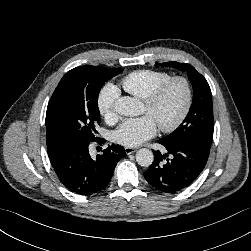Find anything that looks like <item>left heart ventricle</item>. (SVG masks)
Instances as JSON below:
<instances>
[{
  "label": "left heart ventricle",
  "instance_id": "left-heart-ventricle-1",
  "mask_svg": "<svg viewBox=\"0 0 251 251\" xmlns=\"http://www.w3.org/2000/svg\"><path fill=\"white\" fill-rule=\"evenodd\" d=\"M185 100V92L180 84L173 85L152 109L144 105V113L150 115L157 125L168 124L179 115Z\"/></svg>",
  "mask_w": 251,
  "mask_h": 251
}]
</instances>
